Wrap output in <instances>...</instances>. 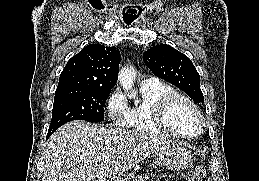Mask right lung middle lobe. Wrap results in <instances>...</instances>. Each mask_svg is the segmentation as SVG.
I'll return each mask as SVG.
<instances>
[{
  "mask_svg": "<svg viewBox=\"0 0 259 181\" xmlns=\"http://www.w3.org/2000/svg\"><path fill=\"white\" fill-rule=\"evenodd\" d=\"M109 94L110 91L95 89H56L48 134L72 120L103 121L104 106Z\"/></svg>",
  "mask_w": 259,
  "mask_h": 181,
  "instance_id": "dd1d6c3e",
  "label": "right lung middle lobe"
}]
</instances>
